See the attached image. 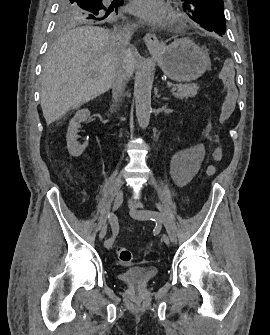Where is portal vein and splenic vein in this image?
<instances>
[{
    "label": "portal vein and splenic vein",
    "instance_id": "18ae733b",
    "mask_svg": "<svg viewBox=\"0 0 270 335\" xmlns=\"http://www.w3.org/2000/svg\"><path fill=\"white\" fill-rule=\"evenodd\" d=\"M171 89H172L171 92L174 94V93L176 92L175 90L178 89V88H176L175 86H173ZM169 92H170V91H169ZM169 95H170V94H169Z\"/></svg>",
    "mask_w": 270,
    "mask_h": 335
}]
</instances>
